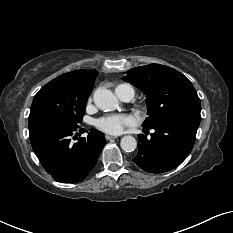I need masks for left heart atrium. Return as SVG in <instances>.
<instances>
[{
    "label": "left heart atrium",
    "mask_w": 233,
    "mask_h": 233,
    "mask_svg": "<svg viewBox=\"0 0 233 233\" xmlns=\"http://www.w3.org/2000/svg\"><path fill=\"white\" fill-rule=\"evenodd\" d=\"M138 119L130 114L107 115L97 120V127L110 134H120L126 127L135 126Z\"/></svg>",
    "instance_id": "left-heart-atrium-1"
}]
</instances>
